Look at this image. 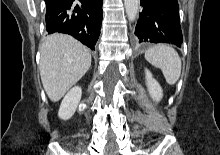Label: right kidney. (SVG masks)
<instances>
[{
    "mask_svg": "<svg viewBox=\"0 0 220 155\" xmlns=\"http://www.w3.org/2000/svg\"><path fill=\"white\" fill-rule=\"evenodd\" d=\"M82 89L79 86L73 87L63 98L58 116L60 119L68 120L75 113L77 106L80 102Z\"/></svg>",
    "mask_w": 220,
    "mask_h": 155,
    "instance_id": "ca27d5eb",
    "label": "right kidney"
}]
</instances>
